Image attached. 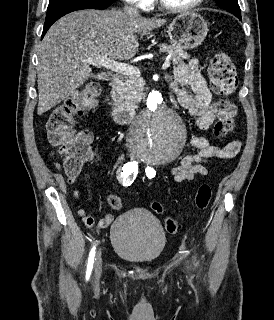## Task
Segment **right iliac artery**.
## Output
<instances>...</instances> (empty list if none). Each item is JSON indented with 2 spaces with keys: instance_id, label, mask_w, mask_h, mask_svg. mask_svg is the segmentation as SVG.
Returning a JSON list of instances; mask_svg holds the SVG:
<instances>
[{
  "instance_id": "obj_1",
  "label": "right iliac artery",
  "mask_w": 274,
  "mask_h": 320,
  "mask_svg": "<svg viewBox=\"0 0 274 320\" xmlns=\"http://www.w3.org/2000/svg\"><path fill=\"white\" fill-rule=\"evenodd\" d=\"M138 172V164L135 161H131L126 163L122 167L121 171V179L123 180V185L124 186H129L132 184L134 181L136 174ZM95 249H96V243L93 245L89 257H88V264H87V271H86V279H89L92 269H93V264H94V257H95Z\"/></svg>"
}]
</instances>
